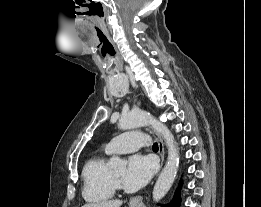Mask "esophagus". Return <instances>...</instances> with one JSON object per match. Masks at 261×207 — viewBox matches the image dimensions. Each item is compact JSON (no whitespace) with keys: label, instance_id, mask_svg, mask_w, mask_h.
Instances as JSON below:
<instances>
[{"label":"esophagus","instance_id":"esophagus-1","mask_svg":"<svg viewBox=\"0 0 261 207\" xmlns=\"http://www.w3.org/2000/svg\"><path fill=\"white\" fill-rule=\"evenodd\" d=\"M154 138L157 140L158 142V147H159V155H160V159H161V166L163 165L164 163V155H165V152H164V145H163V142H162V139L160 138V136L155 132V131H151ZM142 196H136L134 198H132L130 200V203L132 205H138L142 202Z\"/></svg>","mask_w":261,"mask_h":207}]
</instances>
